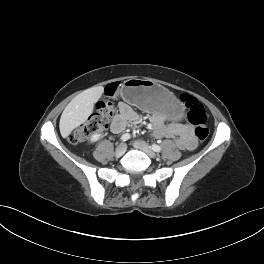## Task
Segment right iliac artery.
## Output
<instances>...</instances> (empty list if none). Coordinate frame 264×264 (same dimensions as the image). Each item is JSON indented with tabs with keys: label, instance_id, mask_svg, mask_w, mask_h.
Instances as JSON below:
<instances>
[{
	"label": "right iliac artery",
	"instance_id": "82829eb1",
	"mask_svg": "<svg viewBox=\"0 0 264 264\" xmlns=\"http://www.w3.org/2000/svg\"><path fill=\"white\" fill-rule=\"evenodd\" d=\"M130 134H128V133H126V134H123L122 136H121V141H127V140H129L130 139Z\"/></svg>",
	"mask_w": 264,
	"mask_h": 264
}]
</instances>
